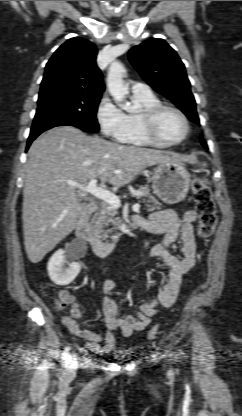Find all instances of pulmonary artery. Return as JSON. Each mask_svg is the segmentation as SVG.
I'll return each instance as SVG.
<instances>
[{
  "label": "pulmonary artery",
  "mask_w": 242,
  "mask_h": 416,
  "mask_svg": "<svg viewBox=\"0 0 242 416\" xmlns=\"http://www.w3.org/2000/svg\"><path fill=\"white\" fill-rule=\"evenodd\" d=\"M131 91L133 94L149 93L150 87L144 83L136 82L131 84Z\"/></svg>",
  "instance_id": "pulmonary-artery-1"
}]
</instances>
